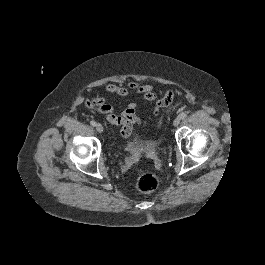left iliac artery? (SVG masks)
<instances>
[{
    "label": "left iliac artery",
    "instance_id": "44dca946",
    "mask_svg": "<svg viewBox=\"0 0 265 265\" xmlns=\"http://www.w3.org/2000/svg\"><path fill=\"white\" fill-rule=\"evenodd\" d=\"M180 119H185L187 117V114L185 112L181 113L179 115Z\"/></svg>",
    "mask_w": 265,
    "mask_h": 265
}]
</instances>
